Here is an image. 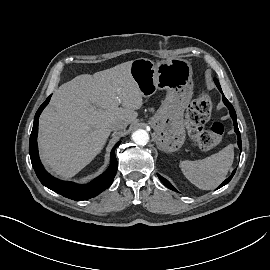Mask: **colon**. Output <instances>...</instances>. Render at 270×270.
I'll list each match as a JSON object with an SVG mask.
<instances>
[{"label": "colon", "mask_w": 270, "mask_h": 270, "mask_svg": "<svg viewBox=\"0 0 270 270\" xmlns=\"http://www.w3.org/2000/svg\"><path fill=\"white\" fill-rule=\"evenodd\" d=\"M211 110V98L203 92L190 103L185 115L188 136L204 151L220 144L224 135V126L221 122H213L208 127H204Z\"/></svg>", "instance_id": "obj_1"}]
</instances>
